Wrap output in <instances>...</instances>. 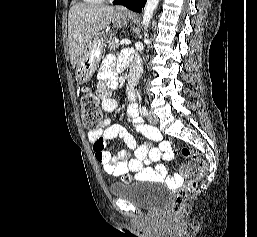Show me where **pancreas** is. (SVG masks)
Here are the masks:
<instances>
[{
  "mask_svg": "<svg viewBox=\"0 0 257 237\" xmlns=\"http://www.w3.org/2000/svg\"><path fill=\"white\" fill-rule=\"evenodd\" d=\"M120 47V43L119 41H117L116 39H113L111 41V43H109L108 45V50L109 51H115L116 49H118Z\"/></svg>",
  "mask_w": 257,
  "mask_h": 237,
  "instance_id": "cf45deb5",
  "label": "pancreas"
}]
</instances>
